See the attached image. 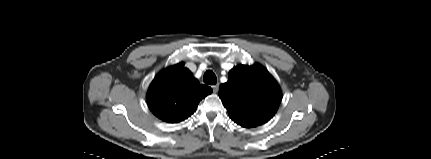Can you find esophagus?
Returning a JSON list of instances; mask_svg holds the SVG:
<instances>
[{"label":"esophagus","instance_id":"obj_1","mask_svg":"<svg viewBox=\"0 0 431 159\" xmlns=\"http://www.w3.org/2000/svg\"><path fill=\"white\" fill-rule=\"evenodd\" d=\"M212 89H213V92H214V93H217V92H218V90H219V84L213 85V86H212Z\"/></svg>","mask_w":431,"mask_h":159}]
</instances>
